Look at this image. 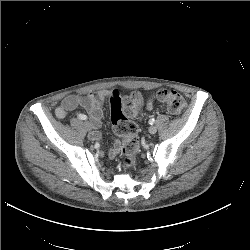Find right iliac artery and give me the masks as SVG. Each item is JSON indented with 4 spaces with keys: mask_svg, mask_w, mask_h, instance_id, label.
<instances>
[{
    "mask_svg": "<svg viewBox=\"0 0 250 250\" xmlns=\"http://www.w3.org/2000/svg\"><path fill=\"white\" fill-rule=\"evenodd\" d=\"M77 117H78L79 119H81V120H86V119H87V116L84 115V114H79Z\"/></svg>",
    "mask_w": 250,
    "mask_h": 250,
    "instance_id": "82829eb1",
    "label": "right iliac artery"
}]
</instances>
